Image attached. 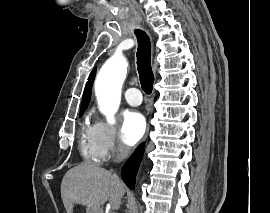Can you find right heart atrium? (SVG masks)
Listing matches in <instances>:
<instances>
[{
    "label": "right heart atrium",
    "instance_id": "right-heart-atrium-1",
    "mask_svg": "<svg viewBox=\"0 0 270 213\" xmlns=\"http://www.w3.org/2000/svg\"><path fill=\"white\" fill-rule=\"evenodd\" d=\"M96 124L103 160L122 156L125 153V148L118 142L116 128L104 121H98Z\"/></svg>",
    "mask_w": 270,
    "mask_h": 213
}]
</instances>
